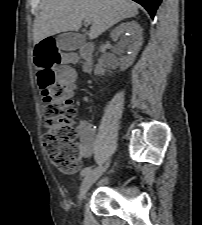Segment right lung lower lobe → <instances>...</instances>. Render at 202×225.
Here are the masks:
<instances>
[{
    "label": "right lung lower lobe",
    "instance_id": "obj_1",
    "mask_svg": "<svg viewBox=\"0 0 202 225\" xmlns=\"http://www.w3.org/2000/svg\"><path fill=\"white\" fill-rule=\"evenodd\" d=\"M134 1L141 4L149 12L152 18H154L155 12L161 3V0H134Z\"/></svg>",
    "mask_w": 202,
    "mask_h": 225
}]
</instances>
